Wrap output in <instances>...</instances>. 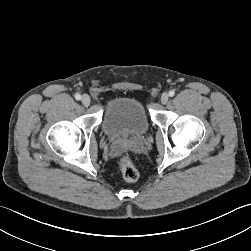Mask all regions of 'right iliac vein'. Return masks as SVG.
Returning a JSON list of instances; mask_svg holds the SVG:
<instances>
[{
    "label": "right iliac vein",
    "instance_id": "1",
    "mask_svg": "<svg viewBox=\"0 0 251 251\" xmlns=\"http://www.w3.org/2000/svg\"><path fill=\"white\" fill-rule=\"evenodd\" d=\"M81 102L84 106H89L90 105V97L88 95H83L81 98Z\"/></svg>",
    "mask_w": 251,
    "mask_h": 251
}]
</instances>
